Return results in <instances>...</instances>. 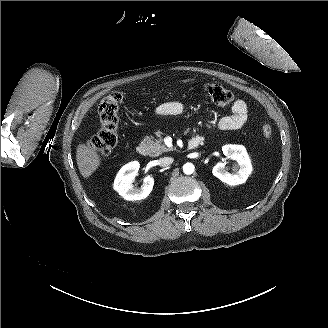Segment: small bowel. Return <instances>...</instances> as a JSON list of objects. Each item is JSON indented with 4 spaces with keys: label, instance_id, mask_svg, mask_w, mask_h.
Instances as JSON below:
<instances>
[{
    "label": "small bowel",
    "instance_id": "small-bowel-1",
    "mask_svg": "<svg viewBox=\"0 0 328 328\" xmlns=\"http://www.w3.org/2000/svg\"><path fill=\"white\" fill-rule=\"evenodd\" d=\"M185 112V106L176 101L159 105L155 114L157 116L180 115ZM248 120V107L244 100L237 99L232 105V114L218 120V128L225 131L241 129Z\"/></svg>",
    "mask_w": 328,
    "mask_h": 328
}]
</instances>
